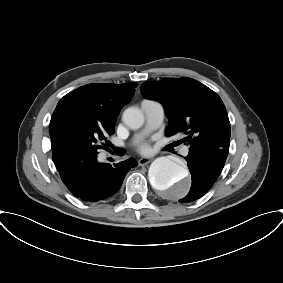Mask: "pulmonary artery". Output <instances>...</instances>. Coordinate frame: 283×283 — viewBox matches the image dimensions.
Wrapping results in <instances>:
<instances>
[{"label":"pulmonary artery","mask_w":283,"mask_h":283,"mask_svg":"<svg viewBox=\"0 0 283 283\" xmlns=\"http://www.w3.org/2000/svg\"><path fill=\"white\" fill-rule=\"evenodd\" d=\"M141 107L145 113V126L141 132L136 136V139L141 138L142 136L154 131L157 129L163 122L164 119V107L158 101L152 100H143ZM189 152V147L184 146L181 150L183 155H187Z\"/></svg>","instance_id":"e3ab8cb5"}]
</instances>
